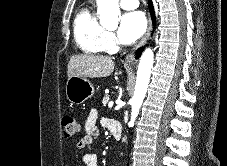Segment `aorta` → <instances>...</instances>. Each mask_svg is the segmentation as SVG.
I'll use <instances>...</instances> for the list:
<instances>
[{"label":"aorta","mask_w":227,"mask_h":166,"mask_svg":"<svg viewBox=\"0 0 227 166\" xmlns=\"http://www.w3.org/2000/svg\"><path fill=\"white\" fill-rule=\"evenodd\" d=\"M97 6V13L102 25L111 27L118 25L120 15L119 0H97ZM153 60V50L147 48L143 52L138 66L134 95L131 100V125H134V122L138 116L139 110L145 98L150 80Z\"/></svg>","instance_id":"aorta-1"}]
</instances>
